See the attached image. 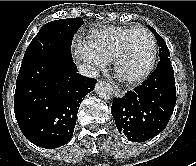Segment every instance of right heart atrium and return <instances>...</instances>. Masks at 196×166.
Wrapping results in <instances>:
<instances>
[{
  "instance_id": "d8ad5b80",
  "label": "right heart atrium",
  "mask_w": 196,
  "mask_h": 166,
  "mask_svg": "<svg viewBox=\"0 0 196 166\" xmlns=\"http://www.w3.org/2000/svg\"><path fill=\"white\" fill-rule=\"evenodd\" d=\"M73 53L75 58L91 67L93 71L103 69L107 62L97 56L88 46L87 42L75 40L73 43Z\"/></svg>"
}]
</instances>
